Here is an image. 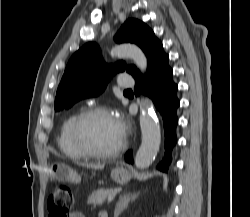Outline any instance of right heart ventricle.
<instances>
[{"instance_id": "right-heart-ventricle-1", "label": "right heart ventricle", "mask_w": 250, "mask_h": 217, "mask_svg": "<svg viewBox=\"0 0 250 217\" xmlns=\"http://www.w3.org/2000/svg\"><path fill=\"white\" fill-rule=\"evenodd\" d=\"M77 116L78 112H74L62 122L57 139L60 151L71 159H83L86 157L76 146L72 137V126Z\"/></svg>"}]
</instances>
